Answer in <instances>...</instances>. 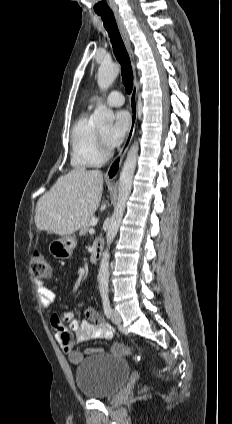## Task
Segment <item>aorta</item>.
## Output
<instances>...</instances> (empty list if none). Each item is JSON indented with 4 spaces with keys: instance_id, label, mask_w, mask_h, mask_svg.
<instances>
[{
    "instance_id": "obj_1",
    "label": "aorta",
    "mask_w": 232,
    "mask_h": 424,
    "mask_svg": "<svg viewBox=\"0 0 232 424\" xmlns=\"http://www.w3.org/2000/svg\"><path fill=\"white\" fill-rule=\"evenodd\" d=\"M120 71V66L116 63L101 64L98 69L97 82L101 90H107ZM92 119L98 126H111L115 116L112 110L105 105L100 104L94 111ZM139 146L135 141L127 153L122 171L119 178V193L117 203L114 207L113 214L110 218L108 229L106 232L107 245L110 246L113 242L125 212L126 203L132 189L133 176L136 168ZM109 250L103 252L100 267H99V289L100 293L108 292L109 284Z\"/></svg>"
}]
</instances>
